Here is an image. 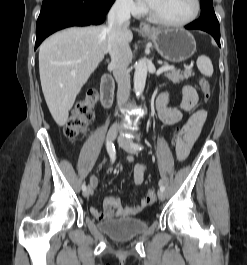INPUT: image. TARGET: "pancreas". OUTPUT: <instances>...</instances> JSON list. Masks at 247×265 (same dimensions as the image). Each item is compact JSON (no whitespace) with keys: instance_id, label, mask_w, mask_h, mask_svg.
<instances>
[{"instance_id":"pancreas-1","label":"pancreas","mask_w":247,"mask_h":265,"mask_svg":"<svg viewBox=\"0 0 247 265\" xmlns=\"http://www.w3.org/2000/svg\"><path fill=\"white\" fill-rule=\"evenodd\" d=\"M192 75H194V73L192 72V68L189 66L185 67L184 71L175 69L165 71V76L173 83H180L181 81L188 79Z\"/></svg>"}]
</instances>
